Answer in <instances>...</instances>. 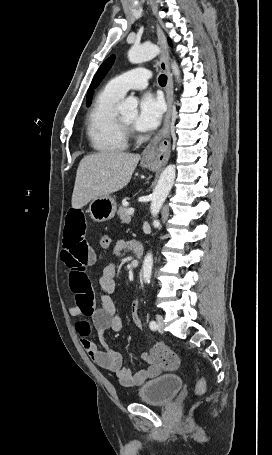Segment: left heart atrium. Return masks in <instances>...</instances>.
Wrapping results in <instances>:
<instances>
[{
  "mask_svg": "<svg viewBox=\"0 0 272 455\" xmlns=\"http://www.w3.org/2000/svg\"><path fill=\"white\" fill-rule=\"evenodd\" d=\"M163 113V100L152 93H145L139 101L134 126L141 132L152 131L160 124Z\"/></svg>",
  "mask_w": 272,
  "mask_h": 455,
  "instance_id": "obj_1",
  "label": "left heart atrium"
}]
</instances>
